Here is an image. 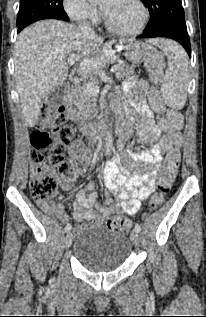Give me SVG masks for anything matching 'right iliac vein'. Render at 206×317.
Masks as SVG:
<instances>
[{
  "instance_id": "1",
  "label": "right iliac vein",
  "mask_w": 206,
  "mask_h": 317,
  "mask_svg": "<svg viewBox=\"0 0 206 317\" xmlns=\"http://www.w3.org/2000/svg\"><path fill=\"white\" fill-rule=\"evenodd\" d=\"M73 241V234L68 232L65 237V248L68 249Z\"/></svg>"
}]
</instances>
